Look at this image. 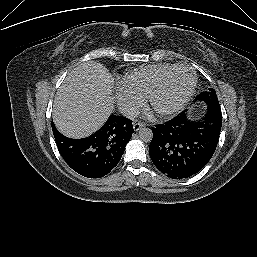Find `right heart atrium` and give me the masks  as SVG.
Instances as JSON below:
<instances>
[{
  "instance_id": "1",
  "label": "right heart atrium",
  "mask_w": 257,
  "mask_h": 257,
  "mask_svg": "<svg viewBox=\"0 0 257 257\" xmlns=\"http://www.w3.org/2000/svg\"><path fill=\"white\" fill-rule=\"evenodd\" d=\"M116 99L119 108L128 117H134L145 107V99L124 88H120Z\"/></svg>"
}]
</instances>
